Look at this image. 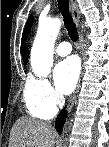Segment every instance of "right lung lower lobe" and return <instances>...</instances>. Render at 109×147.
Here are the masks:
<instances>
[{"label":"right lung lower lobe","mask_w":109,"mask_h":147,"mask_svg":"<svg viewBox=\"0 0 109 147\" xmlns=\"http://www.w3.org/2000/svg\"><path fill=\"white\" fill-rule=\"evenodd\" d=\"M65 117H66V111L62 110L56 119V124H55L56 130L59 134H61L64 122H65Z\"/></svg>","instance_id":"right-lung-lower-lobe-1"}]
</instances>
